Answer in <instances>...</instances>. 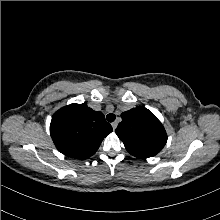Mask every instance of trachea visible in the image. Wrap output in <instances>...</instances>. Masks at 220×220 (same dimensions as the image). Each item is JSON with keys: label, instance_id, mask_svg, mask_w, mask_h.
Listing matches in <instances>:
<instances>
[{"label": "trachea", "instance_id": "trachea-1", "mask_svg": "<svg viewBox=\"0 0 220 220\" xmlns=\"http://www.w3.org/2000/svg\"><path fill=\"white\" fill-rule=\"evenodd\" d=\"M115 118H116V116L113 113H109L106 116V119H107L108 122H113L115 120Z\"/></svg>", "mask_w": 220, "mask_h": 220}]
</instances>
